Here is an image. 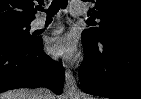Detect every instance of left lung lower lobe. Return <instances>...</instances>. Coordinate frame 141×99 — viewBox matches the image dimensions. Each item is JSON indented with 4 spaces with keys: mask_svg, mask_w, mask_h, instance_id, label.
<instances>
[{
    "mask_svg": "<svg viewBox=\"0 0 141 99\" xmlns=\"http://www.w3.org/2000/svg\"><path fill=\"white\" fill-rule=\"evenodd\" d=\"M85 57L78 72L81 90L111 99H141V38L82 37Z\"/></svg>",
    "mask_w": 141,
    "mask_h": 99,
    "instance_id": "left-lung-lower-lobe-1",
    "label": "left lung lower lobe"
}]
</instances>
